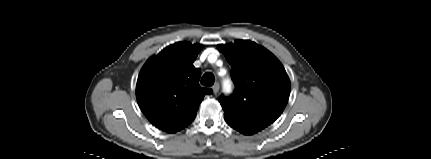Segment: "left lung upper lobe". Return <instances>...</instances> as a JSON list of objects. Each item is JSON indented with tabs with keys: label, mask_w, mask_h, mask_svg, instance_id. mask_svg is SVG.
Segmentation results:
<instances>
[{
	"label": "left lung upper lobe",
	"mask_w": 431,
	"mask_h": 159,
	"mask_svg": "<svg viewBox=\"0 0 431 159\" xmlns=\"http://www.w3.org/2000/svg\"><path fill=\"white\" fill-rule=\"evenodd\" d=\"M231 65L235 93L222 98L225 120L243 134H253L273 123L283 112L290 80L281 62L267 49L249 40L220 44Z\"/></svg>",
	"instance_id": "left-lung-upper-lobe-1"
}]
</instances>
